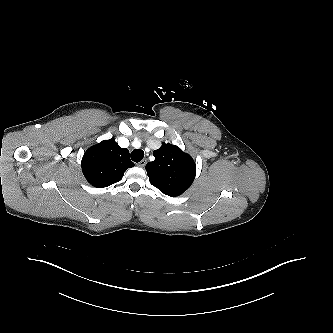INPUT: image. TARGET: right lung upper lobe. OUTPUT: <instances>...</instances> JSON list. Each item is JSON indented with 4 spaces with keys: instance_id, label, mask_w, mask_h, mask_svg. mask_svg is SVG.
<instances>
[{
    "instance_id": "obj_1",
    "label": "right lung upper lobe",
    "mask_w": 333,
    "mask_h": 333,
    "mask_svg": "<svg viewBox=\"0 0 333 333\" xmlns=\"http://www.w3.org/2000/svg\"><path fill=\"white\" fill-rule=\"evenodd\" d=\"M133 166L128 149L121 148L114 139L104 140L90 147L81 162L85 178L97 188L120 181L124 172Z\"/></svg>"
}]
</instances>
